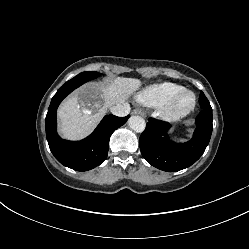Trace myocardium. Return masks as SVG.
Instances as JSON below:
<instances>
[{"label": "myocardium", "mask_w": 249, "mask_h": 249, "mask_svg": "<svg viewBox=\"0 0 249 249\" xmlns=\"http://www.w3.org/2000/svg\"><path fill=\"white\" fill-rule=\"evenodd\" d=\"M187 96L189 101L186 104L181 103V99ZM196 105L195 94L187 89H182L171 97V99L162 108V117L168 121L182 119L189 115Z\"/></svg>", "instance_id": "obj_1"}]
</instances>
